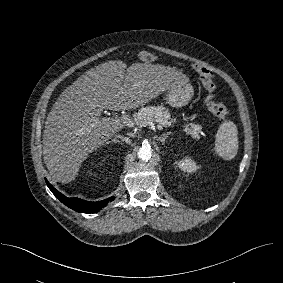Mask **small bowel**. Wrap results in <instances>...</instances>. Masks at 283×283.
Returning <instances> with one entry per match:
<instances>
[{"instance_id": "small-bowel-1", "label": "small bowel", "mask_w": 283, "mask_h": 283, "mask_svg": "<svg viewBox=\"0 0 283 283\" xmlns=\"http://www.w3.org/2000/svg\"><path fill=\"white\" fill-rule=\"evenodd\" d=\"M196 72L200 75L202 84L206 91L208 92V96H212L214 90H215V84L213 82V74L212 72L203 67V66H195Z\"/></svg>"}]
</instances>
